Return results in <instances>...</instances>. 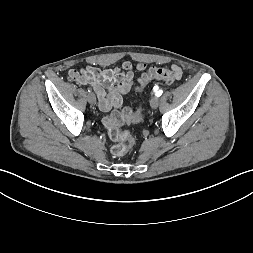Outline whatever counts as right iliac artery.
Here are the masks:
<instances>
[{
  "label": "right iliac artery",
  "mask_w": 253,
  "mask_h": 253,
  "mask_svg": "<svg viewBox=\"0 0 253 253\" xmlns=\"http://www.w3.org/2000/svg\"><path fill=\"white\" fill-rule=\"evenodd\" d=\"M87 91L90 93L92 90H91V88H87Z\"/></svg>",
  "instance_id": "right-iliac-artery-1"
}]
</instances>
